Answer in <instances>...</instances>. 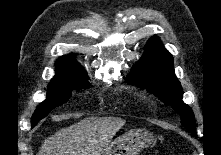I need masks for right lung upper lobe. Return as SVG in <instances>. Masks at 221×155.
<instances>
[{"mask_svg":"<svg viewBox=\"0 0 221 155\" xmlns=\"http://www.w3.org/2000/svg\"><path fill=\"white\" fill-rule=\"evenodd\" d=\"M79 70H83V68L72 57L66 56L57 61L56 74H66Z\"/></svg>","mask_w":221,"mask_h":155,"instance_id":"obj_1","label":"right lung upper lobe"}]
</instances>
